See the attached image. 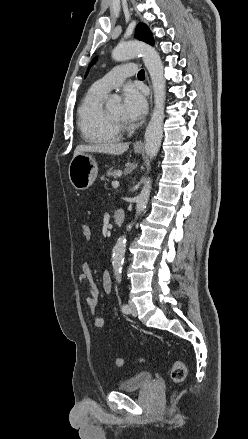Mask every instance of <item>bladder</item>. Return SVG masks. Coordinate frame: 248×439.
Wrapping results in <instances>:
<instances>
[{"mask_svg":"<svg viewBox=\"0 0 248 439\" xmlns=\"http://www.w3.org/2000/svg\"><path fill=\"white\" fill-rule=\"evenodd\" d=\"M154 376L151 372L142 371L126 379L117 385V390L122 392H133L144 389L153 383Z\"/></svg>","mask_w":248,"mask_h":439,"instance_id":"31cf9c89","label":"bladder"}]
</instances>
